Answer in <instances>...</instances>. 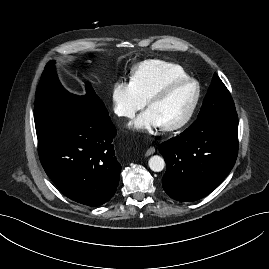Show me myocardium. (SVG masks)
<instances>
[{"mask_svg": "<svg viewBox=\"0 0 269 269\" xmlns=\"http://www.w3.org/2000/svg\"><path fill=\"white\" fill-rule=\"evenodd\" d=\"M189 84H192L195 86V94H194L193 100H192L187 112L178 122L171 124V125L162 126L163 130L168 131V132L177 131V130L184 128L190 122V120L192 119V117H193V115L198 107V104H199V101L201 98L200 84L198 83V81H196L195 79L190 78V77H187L184 79H178V80H175V81H172V82L166 84L165 86H163L162 88H160L159 90L154 92L148 98V100L146 102L147 108H149L153 103L165 98L174 89H176L180 86L189 85Z\"/></svg>", "mask_w": 269, "mask_h": 269, "instance_id": "f54148a6", "label": "myocardium"}]
</instances>
